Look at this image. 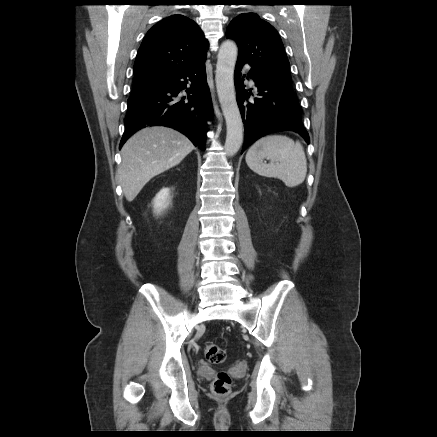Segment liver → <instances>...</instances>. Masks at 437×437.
Returning <instances> with one entry per match:
<instances>
[{"instance_id":"6515ba94","label":"liver","mask_w":437,"mask_h":437,"mask_svg":"<svg viewBox=\"0 0 437 437\" xmlns=\"http://www.w3.org/2000/svg\"><path fill=\"white\" fill-rule=\"evenodd\" d=\"M194 145L182 133L165 126L144 128L131 136L121 150L119 180L132 202L153 177L178 165Z\"/></svg>"}]
</instances>
